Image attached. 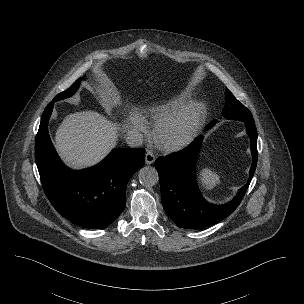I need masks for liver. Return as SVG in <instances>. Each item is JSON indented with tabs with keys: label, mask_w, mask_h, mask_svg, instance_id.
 I'll return each mask as SVG.
<instances>
[{
	"label": "liver",
	"mask_w": 304,
	"mask_h": 304,
	"mask_svg": "<svg viewBox=\"0 0 304 304\" xmlns=\"http://www.w3.org/2000/svg\"><path fill=\"white\" fill-rule=\"evenodd\" d=\"M118 126L96 111L71 113L56 131L55 147L71 168L89 167L116 146Z\"/></svg>",
	"instance_id": "obj_1"
}]
</instances>
